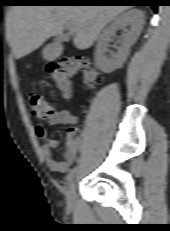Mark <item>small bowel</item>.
I'll use <instances>...</instances> for the list:
<instances>
[{
  "label": "small bowel",
  "instance_id": "small-bowel-1",
  "mask_svg": "<svg viewBox=\"0 0 170 231\" xmlns=\"http://www.w3.org/2000/svg\"><path fill=\"white\" fill-rule=\"evenodd\" d=\"M45 122L50 126L72 125L77 122V118L69 111H56ZM35 132L43 140L41 148L42 156L48 168L56 173H65L73 165L76 160L77 153L82 148V141L78 140L74 144L67 145L63 155V160L59 161L53 157L52 150L58 147V141L47 136L43 124H38L35 127Z\"/></svg>",
  "mask_w": 170,
  "mask_h": 231
}]
</instances>
